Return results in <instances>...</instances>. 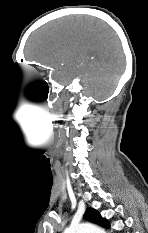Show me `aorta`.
I'll return each mask as SVG.
<instances>
[{
	"label": "aorta",
	"instance_id": "1",
	"mask_svg": "<svg viewBox=\"0 0 148 233\" xmlns=\"http://www.w3.org/2000/svg\"><path fill=\"white\" fill-rule=\"evenodd\" d=\"M64 233H106L104 229L90 223L72 225Z\"/></svg>",
	"mask_w": 148,
	"mask_h": 233
}]
</instances>
